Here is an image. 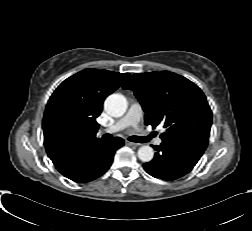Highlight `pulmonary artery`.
<instances>
[{
    "label": "pulmonary artery",
    "mask_w": 252,
    "mask_h": 231,
    "mask_svg": "<svg viewBox=\"0 0 252 231\" xmlns=\"http://www.w3.org/2000/svg\"><path fill=\"white\" fill-rule=\"evenodd\" d=\"M143 116V110L139 103L134 102L132 103L126 114L120 118L116 123L106 129L107 132L114 133L121 131L129 126H136L140 122ZM154 143L156 145H160L162 143V139L157 137L154 139Z\"/></svg>",
    "instance_id": "e3ab8cb5"
}]
</instances>
